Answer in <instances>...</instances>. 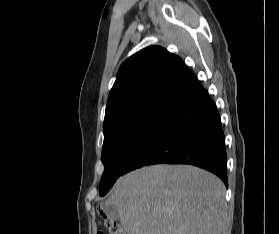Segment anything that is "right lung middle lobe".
Returning a JSON list of instances; mask_svg holds the SVG:
<instances>
[{
    "mask_svg": "<svg viewBox=\"0 0 279 234\" xmlns=\"http://www.w3.org/2000/svg\"><path fill=\"white\" fill-rule=\"evenodd\" d=\"M169 107L150 105L119 114L104 122L102 162L104 173L100 195H105L140 143L167 112Z\"/></svg>",
    "mask_w": 279,
    "mask_h": 234,
    "instance_id": "dd1d6c3e",
    "label": "right lung middle lobe"
}]
</instances>
